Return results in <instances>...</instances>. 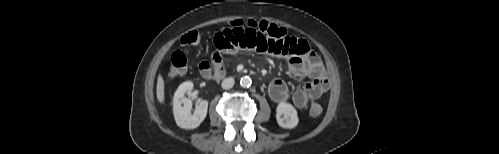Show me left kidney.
<instances>
[{
	"instance_id": "left-kidney-1",
	"label": "left kidney",
	"mask_w": 499,
	"mask_h": 154,
	"mask_svg": "<svg viewBox=\"0 0 499 154\" xmlns=\"http://www.w3.org/2000/svg\"><path fill=\"white\" fill-rule=\"evenodd\" d=\"M276 120L280 127L292 129L298 125L299 119L296 109L290 104L281 102L276 108Z\"/></svg>"
}]
</instances>
